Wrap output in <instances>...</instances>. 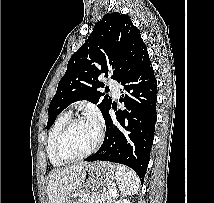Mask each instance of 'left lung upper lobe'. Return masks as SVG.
Instances as JSON below:
<instances>
[{"instance_id":"5c2ea615","label":"left lung upper lobe","mask_w":214,"mask_h":203,"mask_svg":"<svg viewBox=\"0 0 214 203\" xmlns=\"http://www.w3.org/2000/svg\"><path fill=\"white\" fill-rule=\"evenodd\" d=\"M146 49L140 31L128 15L105 14L82 47L70 58L67 71L58 83L48 109L47 129L68 105L78 100L97 104L104 94L97 90L103 86L101 74L119 80L130 68L138 54ZM111 106V98L105 95L98 104L103 116Z\"/></svg>"}]
</instances>
